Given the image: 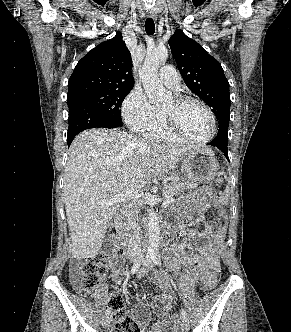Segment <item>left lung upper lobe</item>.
<instances>
[{
  "label": "left lung upper lobe",
  "instance_id": "5c2ea615",
  "mask_svg": "<svg viewBox=\"0 0 291 332\" xmlns=\"http://www.w3.org/2000/svg\"><path fill=\"white\" fill-rule=\"evenodd\" d=\"M169 45L187 87L213 109L219 124L228 130L229 82L221 64L180 29L171 36Z\"/></svg>",
  "mask_w": 291,
  "mask_h": 332
}]
</instances>
